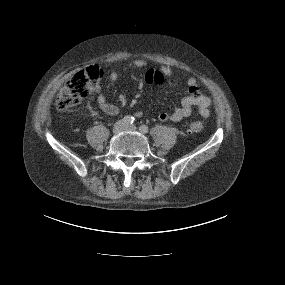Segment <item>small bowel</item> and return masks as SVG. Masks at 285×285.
I'll list each match as a JSON object with an SVG mask.
<instances>
[{"instance_id": "obj_1", "label": "small bowel", "mask_w": 285, "mask_h": 285, "mask_svg": "<svg viewBox=\"0 0 285 285\" xmlns=\"http://www.w3.org/2000/svg\"><path fill=\"white\" fill-rule=\"evenodd\" d=\"M146 64V61L142 59H137L132 62V66L135 68H141ZM118 77L119 75L115 71H112L109 74V78L112 82H116ZM181 79L185 80L189 94L182 99L181 105L178 108L171 112L160 111L158 113V118L161 121L178 122L189 117L192 114L194 107L198 108L199 114L202 117H209L211 99L200 91L198 81L195 77L188 74H175L169 67H162L160 70H149L145 75V82L148 85H160L165 80L176 82ZM119 101L121 105H125L126 97L120 95ZM97 104L99 109L108 115H116L119 111L118 106L108 102L102 93L97 97ZM137 116H140V114H137Z\"/></svg>"}]
</instances>
